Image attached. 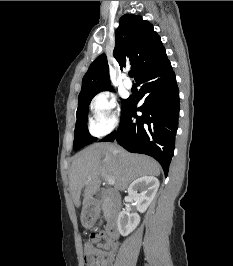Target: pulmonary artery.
Instances as JSON below:
<instances>
[{"instance_id":"1","label":"pulmonary artery","mask_w":233,"mask_h":266,"mask_svg":"<svg viewBox=\"0 0 233 266\" xmlns=\"http://www.w3.org/2000/svg\"><path fill=\"white\" fill-rule=\"evenodd\" d=\"M123 85L126 89H131L132 86H133V83L132 81L128 78V77H125L124 81H123Z\"/></svg>"}]
</instances>
